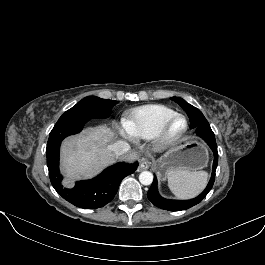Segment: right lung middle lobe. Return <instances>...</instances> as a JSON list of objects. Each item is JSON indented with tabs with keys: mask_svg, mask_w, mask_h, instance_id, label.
I'll use <instances>...</instances> for the list:
<instances>
[{
	"mask_svg": "<svg viewBox=\"0 0 265 265\" xmlns=\"http://www.w3.org/2000/svg\"><path fill=\"white\" fill-rule=\"evenodd\" d=\"M117 103L118 101L88 96L64 112L57 122L73 118H84L87 120L92 118H107L111 114L112 107Z\"/></svg>",
	"mask_w": 265,
	"mask_h": 265,
	"instance_id": "1",
	"label": "right lung middle lobe"
}]
</instances>
